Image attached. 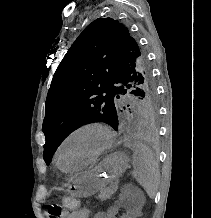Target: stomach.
<instances>
[{"mask_svg":"<svg viewBox=\"0 0 211 218\" xmlns=\"http://www.w3.org/2000/svg\"><path fill=\"white\" fill-rule=\"evenodd\" d=\"M128 166V156L123 152H115L93 170L72 178L73 192L78 197H88L102 190L108 183L118 179Z\"/></svg>","mask_w":211,"mask_h":218,"instance_id":"stomach-1","label":"stomach"}]
</instances>
